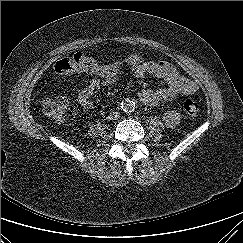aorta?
<instances>
[{"mask_svg":"<svg viewBox=\"0 0 243 243\" xmlns=\"http://www.w3.org/2000/svg\"><path fill=\"white\" fill-rule=\"evenodd\" d=\"M120 107L126 113L133 112L135 109V103L129 98H126L121 102Z\"/></svg>","mask_w":243,"mask_h":243,"instance_id":"1","label":"aorta"}]
</instances>
